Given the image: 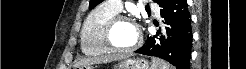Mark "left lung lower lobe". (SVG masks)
Segmentation results:
<instances>
[{
	"mask_svg": "<svg viewBox=\"0 0 246 69\" xmlns=\"http://www.w3.org/2000/svg\"><path fill=\"white\" fill-rule=\"evenodd\" d=\"M161 7L164 26L135 52L167 60L176 69H189L192 29L187 1L168 0Z\"/></svg>",
	"mask_w": 246,
	"mask_h": 69,
	"instance_id": "1",
	"label": "left lung lower lobe"
}]
</instances>
